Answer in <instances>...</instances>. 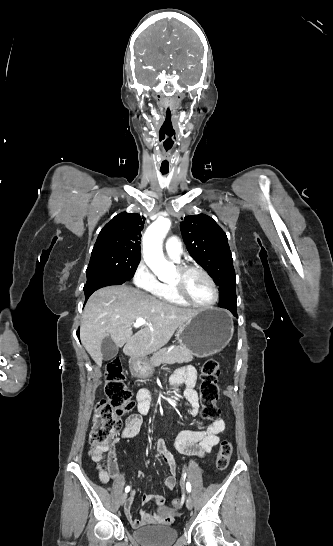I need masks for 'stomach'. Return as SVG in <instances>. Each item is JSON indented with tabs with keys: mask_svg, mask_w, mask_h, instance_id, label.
Returning <instances> with one entry per match:
<instances>
[{
	"mask_svg": "<svg viewBox=\"0 0 333 546\" xmlns=\"http://www.w3.org/2000/svg\"><path fill=\"white\" fill-rule=\"evenodd\" d=\"M234 327L230 315L218 308L200 310L193 318L182 324L176 334L179 344L198 358L209 357L220 352L233 337ZM129 367L136 378H147L153 368L146 359L131 358Z\"/></svg>",
	"mask_w": 333,
	"mask_h": 546,
	"instance_id": "obj_1",
	"label": "stomach"
}]
</instances>
